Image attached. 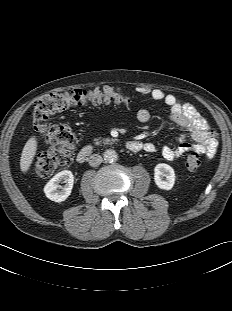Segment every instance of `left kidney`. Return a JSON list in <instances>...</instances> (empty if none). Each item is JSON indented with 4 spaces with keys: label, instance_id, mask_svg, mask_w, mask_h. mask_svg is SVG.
Masks as SVG:
<instances>
[{
    "label": "left kidney",
    "instance_id": "5707ae66",
    "mask_svg": "<svg viewBox=\"0 0 232 311\" xmlns=\"http://www.w3.org/2000/svg\"><path fill=\"white\" fill-rule=\"evenodd\" d=\"M155 184L163 190H170L175 184L174 169L165 163H159L154 168Z\"/></svg>",
    "mask_w": 232,
    "mask_h": 311
}]
</instances>
